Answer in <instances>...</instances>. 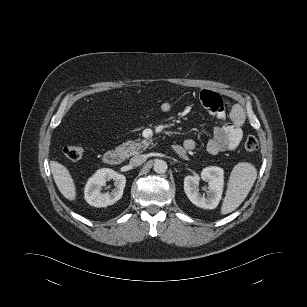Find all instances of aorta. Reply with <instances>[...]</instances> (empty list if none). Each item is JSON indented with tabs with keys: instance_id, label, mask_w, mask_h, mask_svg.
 <instances>
[{
	"instance_id": "762f6f07",
	"label": "aorta",
	"mask_w": 307,
	"mask_h": 307,
	"mask_svg": "<svg viewBox=\"0 0 307 307\" xmlns=\"http://www.w3.org/2000/svg\"><path fill=\"white\" fill-rule=\"evenodd\" d=\"M153 169L156 173L162 174L167 171L168 165L164 160H156Z\"/></svg>"
}]
</instances>
